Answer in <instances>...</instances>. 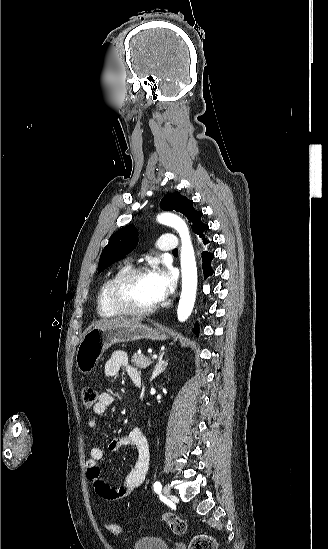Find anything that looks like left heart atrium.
<instances>
[{
    "label": "left heart atrium",
    "instance_id": "obj_1",
    "mask_svg": "<svg viewBox=\"0 0 328 549\" xmlns=\"http://www.w3.org/2000/svg\"><path fill=\"white\" fill-rule=\"evenodd\" d=\"M152 281L159 300L169 296L175 288V274L171 267L164 266L152 271Z\"/></svg>",
    "mask_w": 328,
    "mask_h": 549
}]
</instances>
